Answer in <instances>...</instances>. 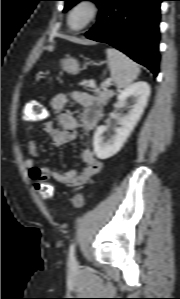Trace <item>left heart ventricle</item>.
I'll list each match as a JSON object with an SVG mask.
<instances>
[{
	"label": "left heart ventricle",
	"instance_id": "b2bd125f",
	"mask_svg": "<svg viewBox=\"0 0 180 299\" xmlns=\"http://www.w3.org/2000/svg\"><path fill=\"white\" fill-rule=\"evenodd\" d=\"M87 17L88 11L85 8H79L73 13L71 23L74 27H78L86 21Z\"/></svg>",
	"mask_w": 180,
	"mask_h": 299
}]
</instances>
